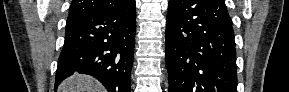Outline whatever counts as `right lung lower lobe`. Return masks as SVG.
<instances>
[{
    "label": "right lung lower lobe",
    "instance_id": "right-lung-lower-lobe-1",
    "mask_svg": "<svg viewBox=\"0 0 289 92\" xmlns=\"http://www.w3.org/2000/svg\"><path fill=\"white\" fill-rule=\"evenodd\" d=\"M135 31V0L66 22L55 89L78 72L94 76L108 92H130Z\"/></svg>",
    "mask_w": 289,
    "mask_h": 92
}]
</instances>
